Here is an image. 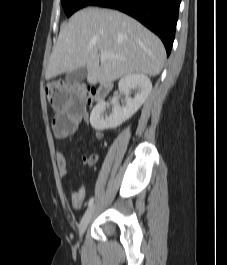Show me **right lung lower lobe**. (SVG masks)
Segmentation results:
<instances>
[{
  "label": "right lung lower lobe",
  "mask_w": 227,
  "mask_h": 265,
  "mask_svg": "<svg viewBox=\"0 0 227 265\" xmlns=\"http://www.w3.org/2000/svg\"><path fill=\"white\" fill-rule=\"evenodd\" d=\"M181 0H93L89 5L120 10L157 34L169 56Z\"/></svg>",
  "instance_id": "obj_1"
}]
</instances>
